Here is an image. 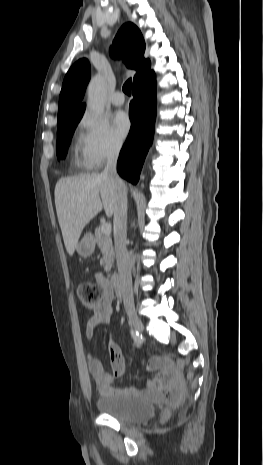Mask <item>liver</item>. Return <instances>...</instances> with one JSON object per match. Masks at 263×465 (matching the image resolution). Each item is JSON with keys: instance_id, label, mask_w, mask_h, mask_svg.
<instances>
[{"instance_id": "liver-1", "label": "liver", "mask_w": 263, "mask_h": 465, "mask_svg": "<svg viewBox=\"0 0 263 465\" xmlns=\"http://www.w3.org/2000/svg\"><path fill=\"white\" fill-rule=\"evenodd\" d=\"M116 203L117 189L102 174L92 173L58 180L55 186L56 212L70 256L74 254L84 227L102 209L107 216H112Z\"/></svg>"}]
</instances>
